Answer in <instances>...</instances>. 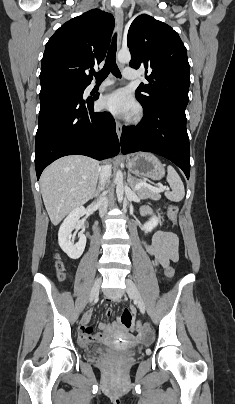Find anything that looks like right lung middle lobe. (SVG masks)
<instances>
[{"mask_svg": "<svg viewBox=\"0 0 235 404\" xmlns=\"http://www.w3.org/2000/svg\"><path fill=\"white\" fill-rule=\"evenodd\" d=\"M87 85L66 82H50L41 85L40 100L48 97H61L66 100L83 101V92Z\"/></svg>", "mask_w": 235, "mask_h": 404, "instance_id": "1", "label": "right lung middle lobe"}]
</instances>
